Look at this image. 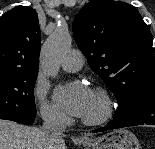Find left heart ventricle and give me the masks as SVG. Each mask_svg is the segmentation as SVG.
<instances>
[{
  "instance_id": "left-heart-ventricle-1",
  "label": "left heart ventricle",
  "mask_w": 155,
  "mask_h": 149,
  "mask_svg": "<svg viewBox=\"0 0 155 149\" xmlns=\"http://www.w3.org/2000/svg\"><path fill=\"white\" fill-rule=\"evenodd\" d=\"M101 112V103L94 92L91 93V97L87 108L83 114V118H93L99 115Z\"/></svg>"
}]
</instances>
